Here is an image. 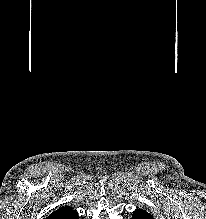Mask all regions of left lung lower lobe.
<instances>
[{"label":"left lung lower lobe","instance_id":"1","mask_svg":"<svg viewBox=\"0 0 206 219\" xmlns=\"http://www.w3.org/2000/svg\"><path fill=\"white\" fill-rule=\"evenodd\" d=\"M132 219H154L153 216L144 211L143 209H137L134 211Z\"/></svg>","mask_w":206,"mask_h":219}]
</instances>
